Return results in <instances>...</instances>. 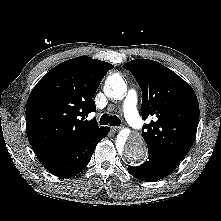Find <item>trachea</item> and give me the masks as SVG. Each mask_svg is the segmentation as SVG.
<instances>
[{
	"label": "trachea",
	"mask_w": 221,
	"mask_h": 221,
	"mask_svg": "<svg viewBox=\"0 0 221 221\" xmlns=\"http://www.w3.org/2000/svg\"><path fill=\"white\" fill-rule=\"evenodd\" d=\"M100 124L119 126L121 124V120L116 115L103 114L100 118Z\"/></svg>",
	"instance_id": "1"
}]
</instances>
